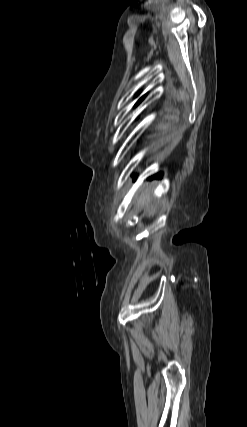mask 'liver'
<instances>
[{
	"label": "liver",
	"mask_w": 247,
	"mask_h": 427,
	"mask_svg": "<svg viewBox=\"0 0 247 427\" xmlns=\"http://www.w3.org/2000/svg\"><path fill=\"white\" fill-rule=\"evenodd\" d=\"M141 208L144 210V212H147L148 217L154 216L155 209L153 208L151 204V194H143L139 200Z\"/></svg>",
	"instance_id": "liver-1"
}]
</instances>
